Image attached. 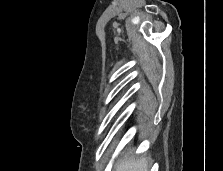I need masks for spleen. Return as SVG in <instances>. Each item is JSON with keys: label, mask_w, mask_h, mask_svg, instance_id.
I'll use <instances>...</instances> for the list:
<instances>
[{"label": "spleen", "mask_w": 223, "mask_h": 171, "mask_svg": "<svg viewBox=\"0 0 223 171\" xmlns=\"http://www.w3.org/2000/svg\"><path fill=\"white\" fill-rule=\"evenodd\" d=\"M114 171H149V161L146 157L132 160L131 157L125 156L118 161Z\"/></svg>", "instance_id": "1"}]
</instances>
